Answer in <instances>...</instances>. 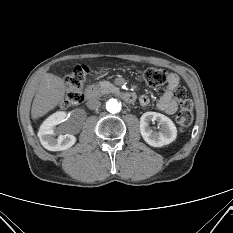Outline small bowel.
<instances>
[{
	"label": "small bowel",
	"instance_id": "c3829d8e",
	"mask_svg": "<svg viewBox=\"0 0 233 233\" xmlns=\"http://www.w3.org/2000/svg\"><path fill=\"white\" fill-rule=\"evenodd\" d=\"M179 82L180 78L177 74H169L166 90L157 103V107L160 111L165 112L167 114H173L176 112L178 105L172 95V90L175 86L179 84ZM140 103L144 106L148 105L149 98L145 95L141 96Z\"/></svg>",
	"mask_w": 233,
	"mask_h": 233
}]
</instances>
